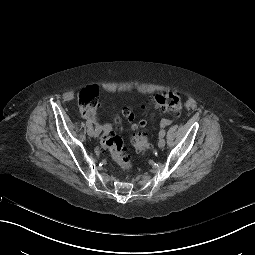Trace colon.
Listing matches in <instances>:
<instances>
[{
	"instance_id": "1",
	"label": "colon",
	"mask_w": 255,
	"mask_h": 255,
	"mask_svg": "<svg viewBox=\"0 0 255 255\" xmlns=\"http://www.w3.org/2000/svg\"><path fill=\"white\" fill-rule=\"evenodd\" d=\"M98 91L95 87H88L79 93V108L83 115L94 118L98 107ZM152 105L160 110L174 115H179L182 110V102L178 94L173 92H164L156 94L150 101ZM124 115L132 119V113L129 109L124 110ZM131 144L138 152H145L149 149V140L146 136L133 132L130 136ZM103 147L107 148L113 160L120 166L124 172H128L131 167V158L123 151V142L121 137L116 134L114 128L106 124L102 128L100 138Z\"/></svg>"
}]
</instances>
